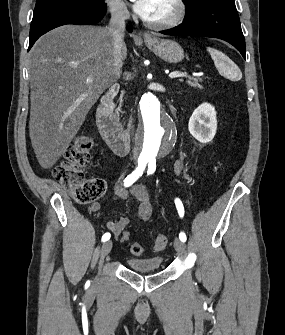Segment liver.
Masks as SVG:
<instances>
[{
    "label": "liver",
    "mask_w": 285,
    "mask_h": 335,
    "mask_svg": "<svg viewBox=\"0 0 285 335\" xmlns=\"http://www.w3.org/2000/svg\"><path fill=\"white\" fill-rule=\"evenodd\" d=\"M108 28L60 26L44 34L29 54V136L36 158L52 168L70 146L89 110L118 80ZM127 58V48L121 52ZM93 76V82H86Z\"/></svg>",
    "instance_id": "obj_1"
}]
</instances>
